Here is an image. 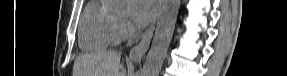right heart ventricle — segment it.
I'll use <instances>...</instances> for the list:
<instances>
[{"instance_id": "obj_1", "label": "right heart ventricle", "mask_w": 287, "mask_h": 76, "mask_svg": "<svg viewBox=\"0 0 287 76\" xmlns=\"http://www.w3.org/2000/svg\"><path fill=\"white\" fill-rule=\"evenodd\" d=\"M118 18L99 2H90L83 13L79 43L85 50H102L116 45Z\"/></svg>"}]
</instances>
